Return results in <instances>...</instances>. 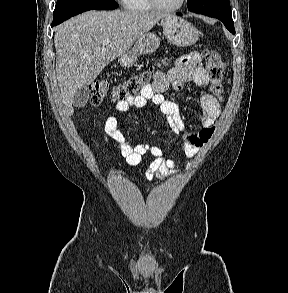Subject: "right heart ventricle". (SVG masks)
Listing matches in <instances>:
<instances>
[{
    "mask_svg": "<svg viewBox=\"0 0 288 293\" xmlns=\"http://www.w3.org/2000/svg\"><path fill=\"white\" fill-rule=\"evenodd\" d=\"M123 4L132 11L146 12L154 9L149 0H123Z\"/></svg>",
    "mask_w": 288,
    "mask_h": 293,
    "instance_id": "obj_1",
    "label": "right heart ventricle"
}]
</instances>
